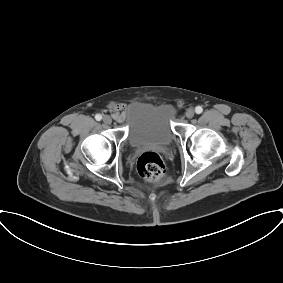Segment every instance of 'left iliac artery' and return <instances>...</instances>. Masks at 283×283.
Masks as SVG:
<instances>
[{
  "mask_svg": "<svg viewBox=\"0 0 283 283\" xmlns=\"http://www.w3.org/2000/svg\"><path fill=\"white\" fill-rule=\"evenodd\" d=\"M202 111H203V108H202L201 106H197V107L195 108V112H196L197 114L202 113Z\"/></svg>",
  "mask_w": 283,
  "mask_h": 283,
  "instance_id": "left-iliac-artery-1",
  "label": "left iliac artery"
}]
</instances>
